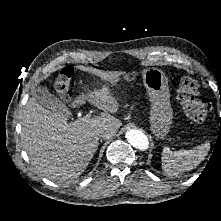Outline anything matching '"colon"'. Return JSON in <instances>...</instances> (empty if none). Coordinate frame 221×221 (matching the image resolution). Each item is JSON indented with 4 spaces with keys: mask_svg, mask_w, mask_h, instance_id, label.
<instances>
[{
    "mask_svg": "<svg viewBox=\"0 0 221 221\" xmlns=\"http://www.w3.org/2000/svg\"><path fill=\"white\" fill-rule=\"evenodd\" d=\"M74 73L71 65L65 66L55 82V93L61 98L70 96V84ZM176 96L185 115L194 122H203L209 115L212 105L198 97V83L190 77L181 78L176 85Z\"/></svg>",
    "mask_w": 221,
    "mask_h": 221,
    "instance_id": "obj_1",
    "label": "colon"
}]
</instances>
